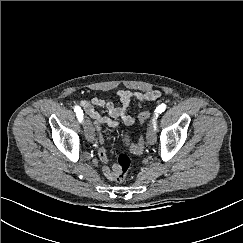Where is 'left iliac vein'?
<instances>
[{"label":"left iliac vein","mask_w":243,"mask_h":243,"mask_svg":"<svg viewBox=\"0 0 243 243\" xmlns=\"http://www.w3.org/2000/svg\"><path fill=\"white\" fill-rule=\"evenodd\" d=\"M147 142L153 145L156 142V133L154 128V118L149 122L147 135H146Z\"/></svg>","instance_id":"4c4485c4"}]
</instances>
